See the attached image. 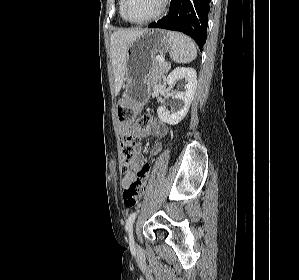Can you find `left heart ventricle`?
Here are the masks:
<instances>
[{"label": "left heart ventricle", "instance_id": "b2bd125f", "mask_svg": "<svg viewBox=\"0 0 299 280\" xmlns=\"http://www.w3.org/2000/svg\"><path fill=\"white\" fill-rule=\"evenodd\" d=\"M162 0H128L127 13L133 20H144L152 16L160 7Z\"/></svg>", "mask_w": 299, "mask_h": 280}]
</instances>
